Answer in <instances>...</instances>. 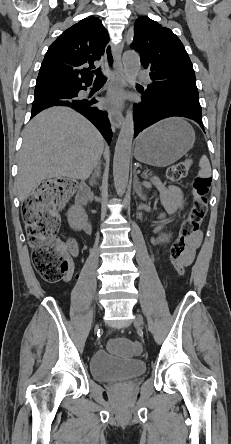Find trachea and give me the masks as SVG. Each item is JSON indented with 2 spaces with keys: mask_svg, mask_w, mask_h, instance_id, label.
Wrapping results in <instances>:
<instances>
[{
  "mask_svg": "<svg viewBox=\"0 0 231 444\" xmlns=\"http://www.w3.org/2000/svg\"><path fill=\"white\" fill-rule=\"evenodd\" d=\"M94 74L96 75V80L97 81H105L106 77L103 75L102 71L100 69L95 70Z\"/></svg>",
  "mask_w": 231,
  "mask_h": 444,
  "instance_id": "1",
  "label": "trachea"
}]
</instances>
